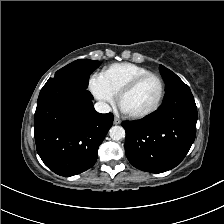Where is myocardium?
<instances>
[{
    "label": "myocardium",
    "instance_id": "obj_1",
    "mask_svg": "<svg viewBox=\"0 0 224 224\" xmlns=\"http://www.w3.org/2000/svg\"><path fill=\"white\" fill-rule=\"evenodd\" d=\"M148 78H155L158 81L159 87H160L158 98H157L156 102L154 103V105L152 107H150L149 109L145 110V111L138 112V113H127V112H125L129 117H131L133 119L145 118V117L153 114L154 112H156L159 109V107L162 104L164 95H165V83H164L162 77L159 76L158 74L151 73V72L147 73V74L137 76V77L133 78L132 80H130L128 83H126L119 90V92L117 94V102H118L119 106L121 107L122 98L126 94L131 92L133 89H135L142 81H144Z\"/></svg>",
    "mask_w": 224,
    "mask_h": 224
}]
</instances>
